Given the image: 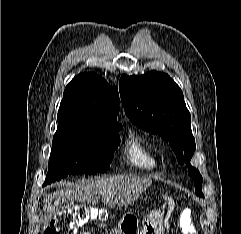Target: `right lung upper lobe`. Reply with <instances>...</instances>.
Segmentation results:
<instances>
[{
	"mask_svg": "<svg viewBox=\"0 0 241 234\" xmlns=\"http://www.w3.org/2000/svg\"><path fill=\"white\" fill-rule=\"evenodd\" d=\"M119 94L116 87L95 73L74 77L66 86L58 115L73 118L78 125L96 128H122L117 123Z\"/></svg>",
	"mask_w": 241,
	"mask_h": 234,
	"instance_id": "cb5924a9",
	"label": "right lung upper lobe"
}]
</instances>
